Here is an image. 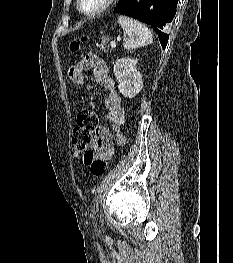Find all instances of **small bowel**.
<instances>
[{
  "label": "small bowel",
  "mask_w": 233,
  "mask_h": 263,
  "mask_svg": "<svg viewBox=\"0 0 233 263\" xmlns=\"http://www.w3.org/2000/svg\"><path fill=\"white\" fill-rule=\"evenodd\" d=\"M86 70H92L94 73V82L101 86L106 92L105 110L106 117L112 123L113 133L106 127H99L95 134V141L91 147V153L94 159L109 160L113 154V142L117 145L126 143V114L122 107V99L115 88L114 80L108 73L105 62L96 54L89 53L75 66L69 70V76L73 83L84 85L92 90L93 84L85 75Z\"/></svg>",
  "instance_id": "small-bowel-1"
}]
</instances>
